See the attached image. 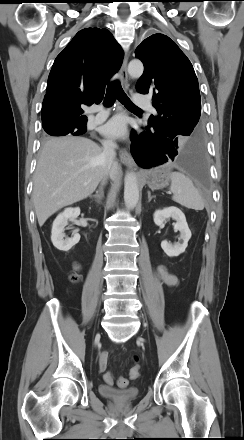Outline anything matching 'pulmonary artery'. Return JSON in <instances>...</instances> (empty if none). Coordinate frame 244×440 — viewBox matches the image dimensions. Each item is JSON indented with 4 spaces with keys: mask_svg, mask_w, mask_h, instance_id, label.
<instances>
[{
    "mask_svg": "<svg viewBox=\"0 0 244 440\" xmlns=\"http://www.w3.org/2000/svg\"><path fill=\"white\" fill-rule=\"evenodd\" d=\"M134 103L136 106H140L154 112V109L150 103L149 98L145 95L136 93L134 95ZM95 111L97 112V115L95 117L97 121L104 120L108 114V110L103 106L96 107Z\"/></svg>",
    "mask_w": 244,
    "mask_h": 440,
    "instance_id": "obj_1",
    "label": "pulmonary artery"
}]
</instances>
